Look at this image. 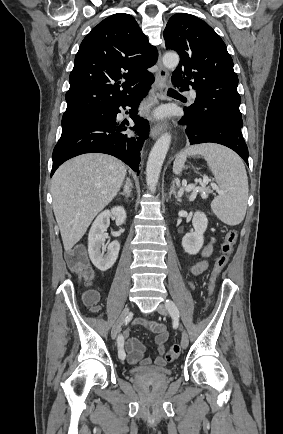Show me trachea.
<instances>
[{
  "instance_id": "1",
  "label": "trachea",
  "mask_w": 283,
  "mask_h": 434,
  "mask_svg": "<svg viewBox=\"0 0 283 434\" xmlns=\"http://www.w3.org/2000/svg\"><path fill=\"white\" fill-rule=\"evenodd\" d=\"M168 94H178V93H177V91H175V90L169 88V89H168Z\"/></svg>"
}]
</instances>
